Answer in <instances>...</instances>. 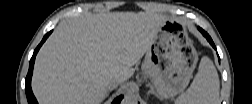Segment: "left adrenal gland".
Instances as JSON below:
<instances>
[{
  "mask_svg": "<svg viewBox=\"0 0 252 104\" xmlns=\"http://www.w3.org/2000/svg\"><path fill=\"white\" fill-rule=\"evenodd\" d=\"M148 86L150 87V90L148 91V94H154V95H156V96H158L157 94H156V92H155V90H154V88H153V86L152 85H150V84H148Z\"/></svg>",
  "mask_w": 252,
  "mask_h": 104,
  "instance_id": "a2214340",
  "label": "left adrenal gland"
}]
</instances>
